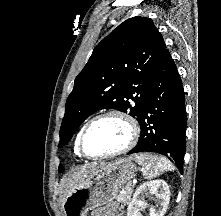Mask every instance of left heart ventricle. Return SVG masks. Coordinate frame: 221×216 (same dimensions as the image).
<instances>
[{"mask_svg": "<svg viewBox=\"0 0 221 216\" xmlns=\"http://www.w3.org/2000/svg\"><path fill=\"white\" fill-rule=\"evenodd\" d=\"M129 136L121 120L109 117L95 122L86 132L84 147L91 155L103 154L121 148Z\"/></svg>", "mask_w": 221, "mask_h": 216, "instance_id": "1", "label": "left heart ventricle"}]
</instances>
